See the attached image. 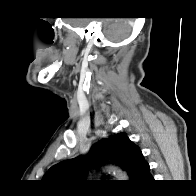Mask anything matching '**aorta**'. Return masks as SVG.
Listing matches in <instances>:
<instances>
[{
  "mask_svg": "<svg viewBox=\"0 0 196 196\" xmlns=\"http://www.w3.org/2000/svg\"><path fill=\"white\" fill-rule=\"evenodd\" d=\"M109 170L112 171L118 179H120V180L127 179L126 173L122 172L120 169H118L116 167H110Z\"/></svg>",
  "mask_w": 196,
  "mask_h": 196,
  "instance_id": "aorta-1",
  "label": "aorta"
}]
</instances>
